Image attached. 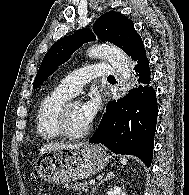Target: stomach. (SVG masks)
Segmentation results:
<instances>
[{
	"instance_id": "1",
	"label": "stomach",
	"mask_w": 189,
	"mask_h": 195,
	"mask_svg": "<svg viewBox=\"0 0 189 195\" xmlns=\"http://www.w3.org/2000/svg\"><path fill=\"white\" fill-rule=\"evenodd\" d=\"M109 161L110 156L101 146L84 144L42 154L36 161V170L45 182L61 184L92 176Z\"/></svg>"
}]
</instances>
